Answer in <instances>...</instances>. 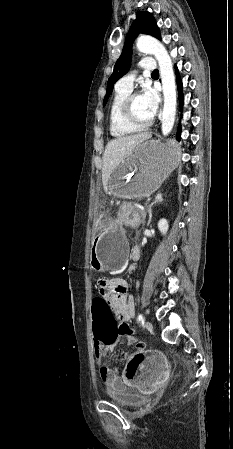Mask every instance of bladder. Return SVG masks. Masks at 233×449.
Masks as SVG:
<instances>
[{
    "instance_id": "1",
    "label": "bladder",
    "mask_w": 233,
    "mask_h": 449,
    "mask_svg": "<svg viewBox=\"0 0 233 449\" xmlns=\"http://www.w3.org/2000/svg\"><path fill=\"white\" fill-rule=\"evenodd\" d=\"M111 401L123 408H133L146 403L147 398L138 394L134 389L115 387L106 390Z\"/></svg>"
}]
</instances>
